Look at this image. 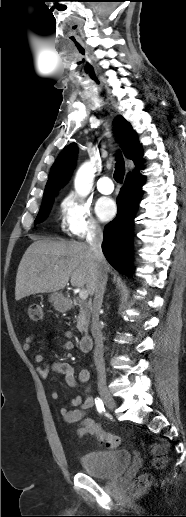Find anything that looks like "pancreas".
Masks as SVG:
<instances>
[{
    "mask_svg": "<svg viewBox=\"0 0 186 517\" xmlns=\"http://www.w3.org/2000/svg\"><path fill=\"white\" fill-rule=\"evenodd\" d=\"M77 305L80 308L79 315L77 317V329L79 330V332L83 333L88 330V326L90 323V305L84 301H79Z\"/></svg>",
    "mask_w": 186,
    "mask_h": 517,
    "instance_id": "pancreas-1",
    "label": "pancreas"
}]
</instances>
